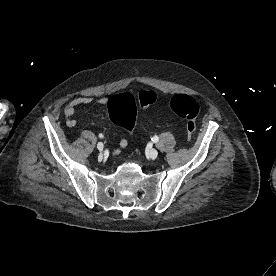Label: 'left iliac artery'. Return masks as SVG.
Returning a JSON list of instances; mask_svg holds the SVG:
<instances>
[{
	"instance_id": "obj_1",
	"label": "left iliac artery",
	"mask_w": 276,
	"mask_h": 276,
	"mask_svg": "<svg viewBox=\"0 0 276 276\" xmlns=\"http://www.w3.org/2000/svg\"><path fill=\"white\" fill-rule=\"evenodd\" d=\"M151 140H152L154 143H156V142L159 141V138H158L157 136H154L153 138H151Z\"/></svg>"
}]
</instances>
